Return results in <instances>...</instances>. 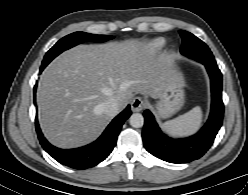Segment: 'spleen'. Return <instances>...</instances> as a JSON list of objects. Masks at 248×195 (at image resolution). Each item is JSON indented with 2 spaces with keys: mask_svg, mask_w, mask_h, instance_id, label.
Returning <instances> with one entry per match:
<instances>
[{
  "mask_svg": "<svg viewBox=\"0 0 248 195\" xmlns=\"http://www.w3.org/2000/svg\"><path fill=\"white\" fill-rule=\"evenodd\" d=\"M201 123L202 110L197 106L189 112L165 122L162 127L170 136L182 137L195 133L200 128Z\"/></svg>",
  "mask_w": 248,
  "mask_h": 195,
  "instance_id": "3e777b00",
  "label": "spleen"
}]
</instances>
